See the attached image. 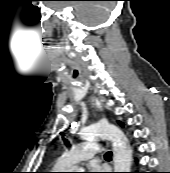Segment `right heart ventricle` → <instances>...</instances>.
Listing matches in <instances>:
<instances>
[{
    "label": "right heart ventricle",
    "instance_id": "right-heart-ventricle-1",
    "mask_svg": "<svg viewBox=\"0 0 170 173\" xmlns=\"http://www.w3.org/2000/svg\"><path fill=\"white\" fill-rule=\"evenodd\" d=\"M66 167V162H65V160L62 158V157H60L59 159H58V161H57V164H56V169H63V168H65Z\"/></svg>",
    "mask_w": 170,
    "mask_h": 173
}]
</instances>
